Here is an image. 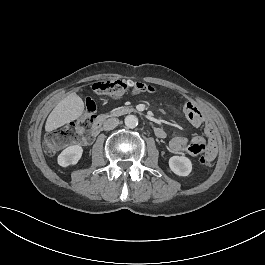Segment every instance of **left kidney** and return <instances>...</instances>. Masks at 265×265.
<instances>
[{"mask_svg":"<svg viewBox=\"0 0 265 265\" xmlns=\"http://www.w3.org/2000/svg\"><path fill=\"white\" fill-rule=\"evenodd\" d=\"M171 172L179 177L188 176L193 169L192 161L184 155H173L168 161Z\"/></svg>","mask_w":265,"mask_h":265,"instance_id":"left-kidney-1","label":"left kidney"}]
</instances>
